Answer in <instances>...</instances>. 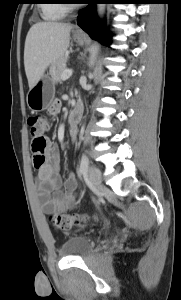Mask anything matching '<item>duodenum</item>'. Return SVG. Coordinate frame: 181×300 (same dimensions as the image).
<instances>
[{
	"instance_id": "1",
	"label": "duodenum",
	"mask_w": 181,
	"mask_h": 300,
	"mask_svg": "<svg viewBox=\"0 0 181 300\" xmlns=\"http://www.w3.org/2000/svg\"><path fill=\"white\" fill-rule=\"evenodd\" d=\"M82 112H83L82 102L81 101H76L74 107L72 108L70 118H69V124H70V128L72 130L77 128L79 120L82 116Z\"/></svg>"
}]
</instances>
